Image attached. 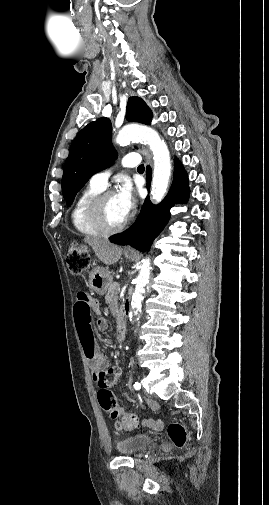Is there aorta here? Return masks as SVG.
I'll use <instances>...</instances> for the list:
<instances>
[{"mask_svg":"<svg viewBox=\"0 0 269 505\" xmlns=\"http://www.w3.org/2000/svg\"><path fill=\"white\" fill-rule=\"evenodd\" d=\"M132 140L144 142L152 151L154 169L151 195L153 203L158 204L165 196L171 176V158L168 147L154 129L142 125L125 126L116 137V142L120 145L128 144ZM151 269L150 259H143L135 281L131 312L129 313L130 320L141 311V304L146 285L149 282Z\"/></svg>","mask_w":269,"mask_h":505,"instance_id":"1","label":"aorta"}]
</instances>
